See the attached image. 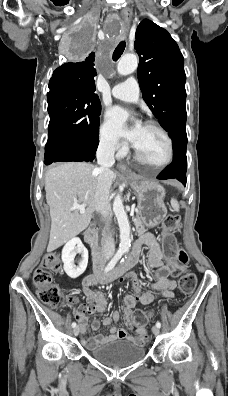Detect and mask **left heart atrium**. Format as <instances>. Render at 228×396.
<instances>
[{
	"label": "left heart atrium",
	"mask_w": 228,
	"mask_h": 396,
	"mask_svg": "<svg viewBox=\"0 0 228 396\" xmlns=\"http://www.w3.org/2000/svg\"><path fill=\"white\" fill-rule=\"evenodd\" d=\"M129 113L120 107H113L107 113V120L112 130L119 136L131 141L133 144L136 141L137 133L142 127L140 122H136L132 127H127Z\"/></svg>",
	"instance_id": "left-heart-atrium-1"
}]
</instances>
